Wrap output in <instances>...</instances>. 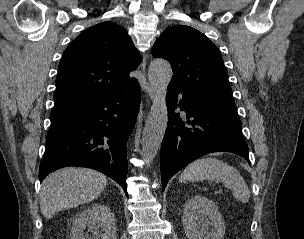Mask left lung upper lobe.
Instances as JSON below:
<instances>
[{"instance_id":"1","label":"left lung upper lobe","mask_w":304,"mask_h":239,"mask_svg":"<svg viewBox=\"0 0 304 239\" xmlns=\"http://www.w3.org/2000/svg\"><path fill=\"white\" fill-rule=\"evenodd\" d=\"M152 55L171 64L169 87L199 102L235 111L220 51L204 34L189 26L168 27L155 42Z\"/></svg>"}]
</instances>
